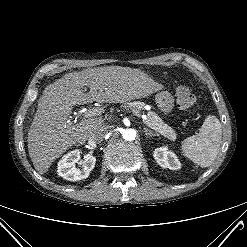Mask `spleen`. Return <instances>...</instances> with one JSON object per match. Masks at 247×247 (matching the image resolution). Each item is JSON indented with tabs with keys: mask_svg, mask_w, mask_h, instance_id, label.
<instances>
[{
	"mask_svg": "<svg viewBox=\"0 0 247 247\" xmlns=\"http://www.w3.org/2000/svg\"><path fill=\"white\" fill-rule=\"evenodd\" d=\"M222 139V128L214 115L206 117L199 133L182 142L181 149L187 158L202 168L209 167L215 160Z\"/></svg>",
	"mask_w": 247,
	"mask_h": 247,
	"instance_id": "obj_1",
	"label": "spleen"
}]
</instances>
